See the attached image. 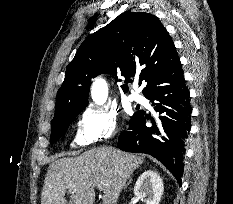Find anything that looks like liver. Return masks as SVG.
Masks as SVG:
<instances>
[{
    "label": "liver",
    "mask_w": 233,
    "mask_h": 204,
    "mask_svg": "<svg viewBox=\"0 0 233 204\" xmlns=\"http://www.w3.org/2000/svg\"><path fill=\"white\" fill-rule=\"evenodd\" d=\"M143 158L113 147L93 148L77 157L60 158L49 165L41 204H93L94 187L103 186V204H116L130 175ZM70 193V200L65 193Z\"/></svg>",
    "instance_id": "6515ba94"
}]
</instances>
